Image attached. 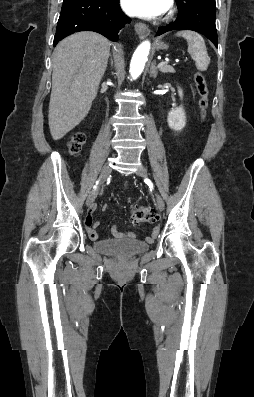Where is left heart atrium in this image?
<instances>
[{"instance_id": "obj_1", "label": "left heart atrium", "mask_w": 254, "mask_h": 397, "mask_svg": "<svg viewBox=\"0 0 254 397\" xmlns=\"http://www.w3.org/2000/svg\"><path fill=\"white\" fill-rule=\"evenodd\" d=\"M126 13L143 18H156L170 7V0H121Z\"/></svg>"}]
</instances>
